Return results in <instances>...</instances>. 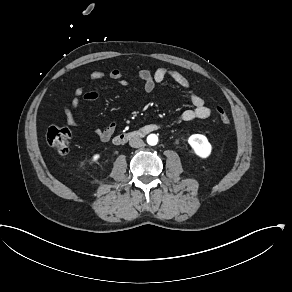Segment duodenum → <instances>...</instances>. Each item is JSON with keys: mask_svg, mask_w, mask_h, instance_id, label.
<instances>
[{"mask_svg": "<svg viewBox=\"0 0 292 292\" xmlns=\"http://www.w3.org/2000/svg\"><path fill=\"white\" fill-rule=\"evenodd\" d=\"M161 128H163L162 125L152 124V125H148V126L144 127L141 130H131V131L122 132V133L117 134L114 137V142L115 143H123L126 140L133 139V138H139L146 133L157 131Z\"/></svg>", "mask_w": 292, "mask_h": 292, "instance_id": "obj_1", "label": "duodenum"}]
</instances>
